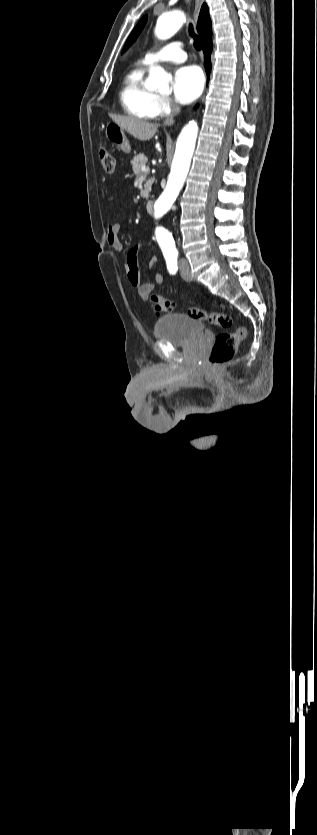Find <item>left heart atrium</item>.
I'll list each match as a JSON object with an SVG mask.
<instances>
[{
  "label": "left heart atrium",
  "mask_w": 317,
  "mask_h": 835,
  "mask_svg": "<svg viewBox=\"0 0 317 835\" xmlns=\"http://www.w3.org/2000/svg\"><path fill=\"white\" fill-rule=\"evenodd\" d=\"M203 85L204 77L200 68L192 65L183 66L174 75V96L180 103H190L201 94Z\"/></svg>",
  "instance_id": "obj_1"
}]
</instances>
